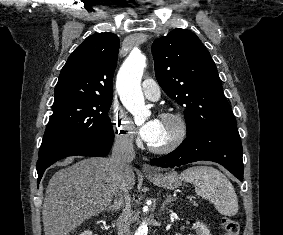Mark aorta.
Listing matches in <instances>:
<instances>
[{"instance_id": "aorta-1", "label": "aorta", "mask_w": 283, "mask_h": 235, "mask_svg": "<svg viewBox=\"0 0 283 235\" xmlns=\"http://www.w3.org/2000/svg\"><path fill=\"white\" fill-rule=\"evenodd\" d=\"M146 66V57L132 51L122 64L116 80V88L125 108L134 116L136 123L142 122L150 114L145 106L141 90V78ZM148 226L141 223L134 235H147Z\"/></svg>"}]
</instances>
